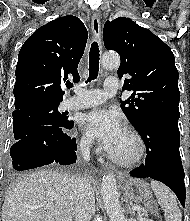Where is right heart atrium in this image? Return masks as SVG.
Listing matches in <instances>:
<instances>
[{"label": "right heart atrium", "instance_id": "1", "mask_svg": "<svg viewBox=\"0 0 190 221\" xmlns=\"http://www.w3.org/2000/svg\"><path fill=\"white\" fill-rule=\"evenodd\" d=\"M79 146L82 151H90L94 147V142L91 137L84 134L79 140Z\"/></svg>", "mask_w": 190, "mask_h": 221}]
</instances>
